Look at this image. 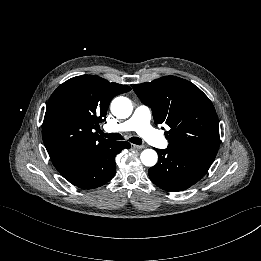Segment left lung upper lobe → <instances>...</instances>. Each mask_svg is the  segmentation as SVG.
<instances>
[{
	"mask_svg": "<svg viewBox=\"0 0 261 261\" xmlns=\"http://www.w3.org/2000/svg\"><path fill=\"white\" fill-rule=\"evenodd\" d=\"M135 93L153 112L156 124H166L169 150L215 158L219 121L212 102L194 84L176 76L136 84Z\"/></svg>",
	"mask_w": 261,
	"mask_h": 261,
	"instance_id": "1",
	"label": "left lung upper lobe"
}]
</instances>
